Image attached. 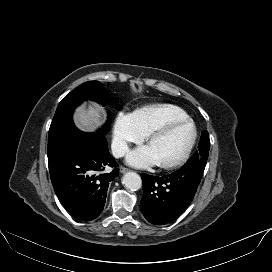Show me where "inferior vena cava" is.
<instances>
[{"mask_svg": "<svg viewBox=\"0 0 272 272\" xmlns=\"http://www.w3.org/2000/svg\"><path fill=\"white\" fill-rule=\"evenodd\" d=\"M111 150L115 158H120L128 152V146L124 141L114 140L111 144Z\"/></svg>", "mask_w": 272, "mask_h": 272, "instance_id": "obj_1", "label": "inferior vena cava"}]
</instances>
